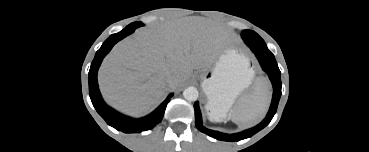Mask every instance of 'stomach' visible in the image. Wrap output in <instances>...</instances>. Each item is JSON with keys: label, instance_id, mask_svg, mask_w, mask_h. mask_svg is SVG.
I'll return each instance as SVG.
<instances>
[{"label": "stomach", "instance_id": "stomach-1", "mask_svg": "<svg viewBox=\"0 0 369 152\" xmlns=\"http://www.w3.org/2000/svg\"><path fill=\"white\" fill-rule=\"evenodd\" d=\"M207 76L201 84L208 99L206 110L210 119L222 121L236 98L251 84L254 71L244 55L229 49L219 57Z\"/></svg>", "mask_w": 369, "mask_h": 152}]
</instances>
